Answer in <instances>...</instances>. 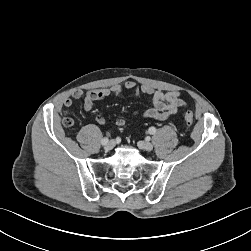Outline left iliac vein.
Wrapping results in <instances>:
<instances>
[{"instance_id": "4c4485c4", "label": "left iliac vein", "mask_w": 251, "mask_h": 251, "mask_svg": "<svg viewBox=\"0 0 251 251\" xmlns=\"http://www.w3.org/2000/svg\"><path fill=\"white\" fill-rule=\"evenodd\" d=\"M138 145L141 149L145 151H151L153 149V145L150 142L140 141Z\"/></svg>"}]
</instances>
